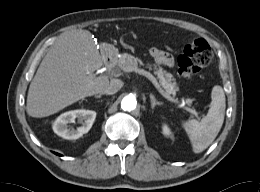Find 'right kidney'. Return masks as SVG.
<instances>
[{"label": "right kidney", "instance_id": "right-kidney-1", "mask_svg": "<svg viewBox=\"0 0 260 192\" xmlns=\"http://www.w3.org/2000/svg\"><path fill=\"white\" fill-rule=\"evenodd\" d=\"M96 118V112L92 110H73L61 114L53 124L54 132L68 140L80 138L83 134L87 133L92 127ZM75 119L82 124L77 129L69 128V123H74Z\"/></svg>", "mask_w": 260, "mask_h": 192}]
</instances>
